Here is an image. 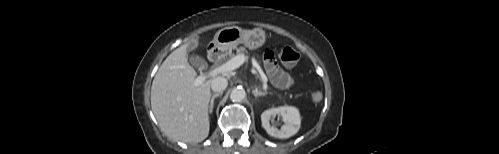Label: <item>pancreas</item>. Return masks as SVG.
<instances>
[{"label":"pancreas","instance_id":"pancreas-1","mask_svg":"<svg viewBox=\"0 0 499 154\" xmlns=\"http://www.w3.org/2000/svg\"><path fill=\"white\" fill-rule=\"evenodd\" d=\"M237 54H238V55H244V56H245V58H246V60H247V58H248V56H247V50H246L244 47H239V48L237 49ZM255 74H256V77H257V78H260V75L258 74V72H255Z\"/></svg>","mask_w":499,"mask_h":154}]
</instances>
